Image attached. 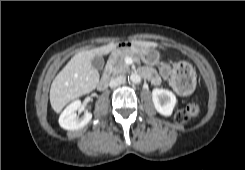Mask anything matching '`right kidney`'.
<instances>
[{
	"label": "right kidney",
	"instance_id": "1",
	"mask_svg": "<svg viewBox=\"0 0 245 170\" xmlns=\"http://www.w3.org/2000/svg\"><path fill=\"white\" fill-rule=\"evenodd\" d=\"M82 104L80 100H75L70 103L59 117V125L65 130H77L87 125L91 118L92 113L86 111L84 115L79 118L76 111L81 108Z\"/></svg>",
	"mask_w": 245,
	"mask_h": 170
}]
</instances>
